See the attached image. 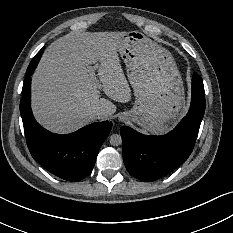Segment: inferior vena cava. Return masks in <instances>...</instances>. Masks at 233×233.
<instances>
[{
	"label": "inferior vena cava",
	"instance_id": "602c4592",
	"mask_svg": "<svg viewBox=\"0 0 233 233\" xmlns=\"http://www.w3.org/2000/svg\"><path fill=\"white\" fill-rule=\"evenodd\" d=\"M104 115H105V112H104L103 109H98V110H96V111L94 112V117H95L96 119H101V118H103Z\"/></svg>",
	"mask_w": 233,
	"mask_h": 233
}]
</instances>
